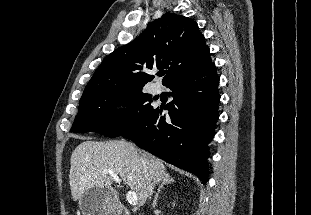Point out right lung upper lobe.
<instances>
[{
  "instance_id": "right-lung-upper-lobe-1",
  "label": "right lung upper lobe",
  "mask_w": 311,
  "mask_h": 215,
  "mask_svg": "<svg viewBox=\"0 0 311 215\" xmlns=\"http://www.w3.org/2000/svg\"><path fill=\"white\" fill-rule=\"evenodd\" d=\"M211 62L210 50L197 23L166 13L148 24L129 44L108 55L87 84L80 102L110 94L142 90L153 68L166 69L162 83L201 69Z\"/></svg>"
}]
</instances>
